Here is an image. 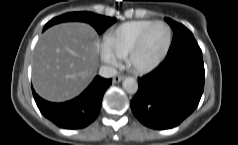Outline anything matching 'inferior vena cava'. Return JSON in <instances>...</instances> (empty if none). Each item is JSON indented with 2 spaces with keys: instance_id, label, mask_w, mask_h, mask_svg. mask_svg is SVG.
Here are the masks:
<instances>
[{
  "instance_id": "602c4592",
  "label": "inferior vena cava",
  "mask_w": 238,
  "mask_h": 145,
  "mask_svg": "<svg viewBox=\"0 0 238 145\" xmlns=\"http://www.w3.org/2000/svg\"><path fill=\"white\" fill-rule=\"evenodd\" d=\"M99 75L104 78H111L117 75V70L112 66L103 65L99 69Z\"/></svg>"
}]
</instances>
